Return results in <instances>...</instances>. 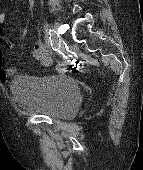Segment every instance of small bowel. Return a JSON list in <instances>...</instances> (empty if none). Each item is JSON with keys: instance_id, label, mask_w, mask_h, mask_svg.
I'll return each instance as SVG.
<instances>
[{"instance_id": "c3829d8e", "label": "small bowel", "mask_w": 143, "mask_h": 170, "mask_svg": "<svg viewBox=\"0 0 143 170\" xmlns=\"http://www.w3.org/2000/svg\"><path fill=\"white\" fill-rule=\"evenodd\" d=\"M5 18V14L0 11V32L2 31V25L5 22ZM33 56L45 67H48L52 64V57L46 49L44 43L40 40H38L33 46ZM15 74L16 70L14 68L5 66L2 57V50L0 47V81L6 82L9 77Z\"/></svg>"}]
</instances>
